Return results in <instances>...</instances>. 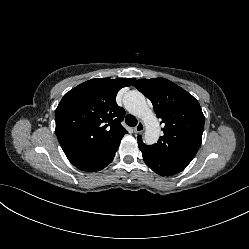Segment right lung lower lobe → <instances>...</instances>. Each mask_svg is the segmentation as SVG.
Instances as JSON below:
<instances>
[{
    "instance_id": "obj_1",
    "label": "right lung lower lobe",
    "mask_w": 249,
    "mask_h": 249,
    "mask_svg": "<svg viewBox=\"0 0 249 249\" xmlns=\"http://www.w3.org/2000/svg\"><path fill=\"white\" fill-rule=\"evenodd\" d=\"M120 141L97 150L65 153L69 161L78 169L95 172L110 164L119 147Z\"/></svg>"
}]
</instances>
